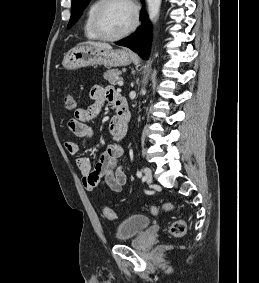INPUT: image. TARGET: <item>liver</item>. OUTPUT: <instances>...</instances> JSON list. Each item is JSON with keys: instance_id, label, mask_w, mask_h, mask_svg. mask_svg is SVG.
<instances>
[{"instance_id": "6515ba94", "label": "liver", "mask_w": 259, "mask_h": 283, "mask_svg": "<svg viewBox=\"0 0 259 283\" xmlns=\"http://www.w3.org/2000/svg\"><path fill=\"white\" fill-rule=\"evenodd\" d=\"M84 44H88V45H91V46H94V47H99V48H105V49H111L112 47L107 44V43H100V42H92V41H88Z\"/></svg>"}]
</instances>
